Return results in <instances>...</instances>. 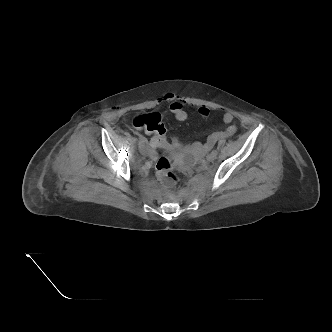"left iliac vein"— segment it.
Masks as SVG:
<instances>
[{
    "mask_svg": "<svg viewBox=\"0 0 332 332\" xmlns=\"http://www.w3.org/2000/svg\"><path fill=\"white\" fill-rule=\"evenodd\" d=\"M215 158H216V156L213 155L212 153L208 154L206 157L207 161H209V162L213 161Z\"/></svg>",
    "mask_w": 332,
    "mask_h": 332,
    "instance_id": "obj_1",
    "label": "left iliac vein"
}]
</instances>
